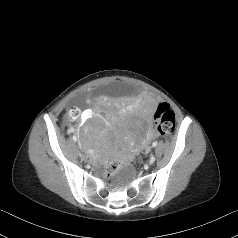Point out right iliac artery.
Here are the masks:
<instances>
[{"instance_id": "82829eb1", "label": "right iliac artery", "mask_w": 238, "mask_h": 238, "mask_svg": "<svg viewBox=\"0 0 238 238\" xmlns=\"http://www.w3.org/2000/svg\"><path fill=\"white\" fill-rule=\"evenodd\" d=\"M73 140H74V141H76V140H77V137H76L75 135L73 136Z\"/></svg>"}]
</instances>
